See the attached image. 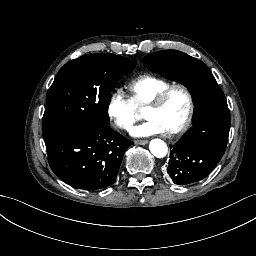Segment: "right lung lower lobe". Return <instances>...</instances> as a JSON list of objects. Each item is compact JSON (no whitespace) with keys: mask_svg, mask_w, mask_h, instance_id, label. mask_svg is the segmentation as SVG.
<instances>
[{"mask_svg":"<svg viewBox=\"0 0 256 256\" xmlns=\"http://www.w3.org/2000/svg\"><path fill=\"white\" fill-rule=\"evenodd\" d=\"M52 171L65 183L83 190L106 188L116 181L127 148L133 144L110 127L44 139Z\"/></svg>","mask_w":256,"mask_h":256,"instance_id":"right-lung-lower-lobe-1","label":"right lung lower lobe"}]
</instances>
